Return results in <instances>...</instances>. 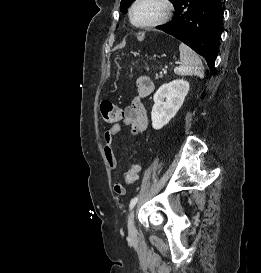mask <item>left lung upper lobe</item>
Listing matches in <instances>:
<instances>
[{
    "mask_svg": "<svg viewBox=\"0 0 261 273\" xmlns=\"http://www.w3.org/2000/svg\"><path fill=\"white\" fill-rule=\"evenodd\" d=\"M134 0H122L121 1V6H120V10L122 12H126V8L133 2ZM177 0H171V2H173V4L176 2Z\"/></svg>",
    "mask_w": 261,
    "mask_h": 273,
    "instance_id": "5c2ea615",
    "label": "left lung upper lobe"
}]
</instances>
